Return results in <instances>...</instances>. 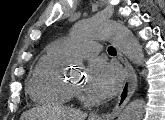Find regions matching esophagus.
<instances>
[{
  "mask_svg": "<svg viewBox=\"0 0 165 120\" xmlns=\"http://www.w3.org/2000/svg\"><path fill=\"white\" fill-rule=\"evenodd\" d=\"M118 54L127 72L126 79L117 97L116 105L113 108V110L110 113L106 114H93L92 117L95 120H111L118 116L124 108V106L132 97L137 87V75L135 73V70L133 69L132 65L129 63L125 56H123L120 52Z\"/></svg>",
  "mask_w": 165,
  "mask_h": 120,
  "instance_id": "obj_1",
  "label": "esophagus"
}]
</instances>
